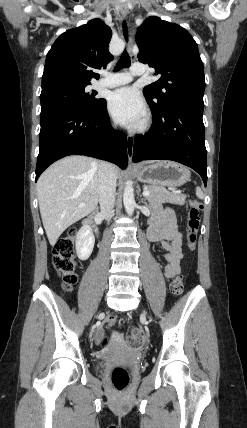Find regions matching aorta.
I'll use <instances>...</instances> for the list:
<instances>
[{"label": "aorta", "instance_id": "762f6f07", "mask_svg": "<svg viewBox=\"0 0 247 428\" xmlns=\"http://www.w3.org/2000/svg\"><path fill=\"white\" fill-rule=\"evenodd\" d=\"M122 50H123V47H120L119 51H122ZM123 203L127 214L132 215L135 208V199H134L133 187L131 186L130 183H127L125 186L124 194H123Z\"/></svg>", "mask_w": 247, "mask_h": 428}]
</instances>
